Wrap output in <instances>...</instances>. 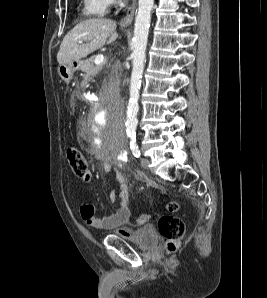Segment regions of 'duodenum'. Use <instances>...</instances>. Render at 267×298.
<instances>
[{
  "label": "duodenum",
  "mask_w": 267,
  "mask_h": 298,
  "mask_svg": "<svg viewBox=\"0 0 267 298\" xmlns=\"http://www.w3.org/2000/svg\"><path fill=\"white\" fill-rule=\"evenodd\" d=\"M94 100H91V104H88V115H97L98 107L97 105H101V100H99L98 94H93Z\"/></svg>",
  "instance_id": "duodenum-1"
}]
</instances>
